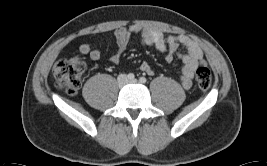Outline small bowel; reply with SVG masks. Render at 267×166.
<instances>
[{
  "label": "small bowel",
  "mask_w": 267,
  "mask_h": 166,
  "mask_svg": "<svg viewBox=\"0 0 267 166\" xmlns=\"http://www.w3.org/2000/svg\"><path fill=\"white\" fill-rule=\"evenodd\" d=\"M133 34L140 36L142 44L153 47L162 53L167 62H171L174 59L177 48L182 46L185 49V53L181 55L183 69L180 81L184 89L191 88L194 70L204 62L203 53L193 40L185 35L166 37L159 30L146 29L138 25L131 26L130 28H120L114 33L117 51L111 57L113 63L120 62L122 54L127 49ZM79 52L88 56L93 61H97L101 57L99 49L88 43L81 44L79 46ZM139 68L148 75L154 74L153 68L147 62H143Z\"/></svg>",
  "instance_id": "c3829d8e"
}]
</instances>
